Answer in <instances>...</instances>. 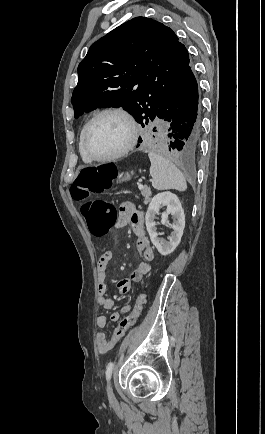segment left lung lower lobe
Here are the masks:
<instances>
[{"label":"left lung lower lobe","mask_w":265,"mask_h":434,"mask_svg":"<svg viewBox=\"0 0 265 434\" xmlns=\"http://www.w3.org/2000/svg\"><path fill=\"white\" fill-rule=\"evenodd\" d=\"M155 118L168 123L166 147L183 155L194 154L198 149L201 134L198 85L191 64L161 101ZM142 140L139 138L138 143ZM139 146V145H137Z\"/></svg>","instance_id":"obj_1"}]
</instances>
